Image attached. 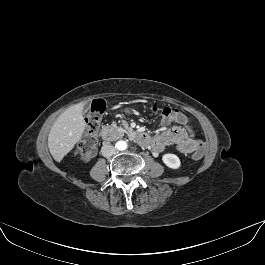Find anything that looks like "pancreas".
Returning <instances> with one entry per match:
<instances>
[{"instance_id":"pancreas-1","label":"pancreas","mask_w":265,"mask_h":265,"mask_svg":"<svg viewBox=\"0 0 265 265\" xmlns=\"http://www.w3.org/2000/svg\"><path fill=\"white\" fill-rule=\"evenodd\" d=\"M112 126L115 127L117 130H119L120 132L130 133L132 131V129L129 127L128 124H123V127H117L116 123H113Z\"/></svg>"}]
</instances>
